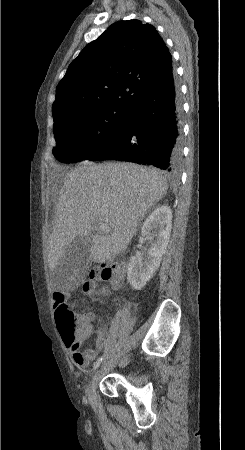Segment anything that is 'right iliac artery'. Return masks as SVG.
<instances>
[{
  "label": "right iliac artery",
  "instance_id": "82829eb1",
  "mask_svg": "<svg viewBox=\"0 0 245 450\" xmlns=\"http://www.w3.org/2000/svg\"><path fill=\"white\" fill-rule=\"evenodd\" d=\"M102 357H100L96 362H94V365H93V372L99 367V365H100V363H101V361H102Z\"/></svg>",
  "mask_w": 245,
  "mask_h": 450
}]
</instances>
